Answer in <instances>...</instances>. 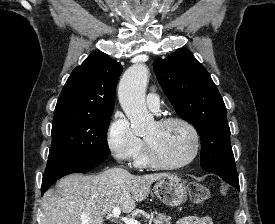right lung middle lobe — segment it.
<instances>
[{"mask_svg": "<svg viewBox=\"0 0 275 224\" xmlns=\"http://www.w3.org/2000/svg\"><path fill=\"white\" fill-rule=\"evenodd\" d=\"M110 117L111 114L54 118L45 173L110 155L106 140Z\"/></svg>", "mask_w": 275, "mask_h": 224, "instance_id": "obj_1", "label": "right lung middle lobe"}]
</instances>
